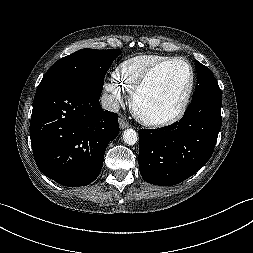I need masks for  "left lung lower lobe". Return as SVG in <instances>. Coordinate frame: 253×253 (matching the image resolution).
Listing matches in <instances>:
<instances>
[{
  "label": "left lung lower lobe",
  "mask_w": 253,
  "mask_h": 253,
  "mask_svg": "<svg viewBox=\"0 0 253 253\" xmlns=\"http://www.w3.org/2000/svg\"><path fill=\"white\" fill-rule=\"evenodd\" d=\"M222 97L192 100L178 122L139 133V169L151 184L172 186L189 178L211 157L221 128Z\"/></svg>",
  "instance_id": "left-lung-lower-lobe-1"
}]
</instances>
